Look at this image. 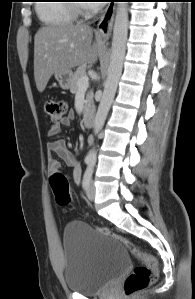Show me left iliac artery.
I'll return each mask as SVG.
<instances>
[{
  "mask_svg": "<svg viewBox=\"0 0 195 299\" xmlns=\"http://www.w3.org/2000/svg\"><path fill=\"white\" fill-rule=\"evenodd\" d=\"M94 169V162H90L83 176L82 186L84 189L88 188Z\"/></svg>",
  "mask_w": 195,
  "mask_h": 299,
  "instance_id": "1",
  "label": "left iliac artery"
}]
</instances>
